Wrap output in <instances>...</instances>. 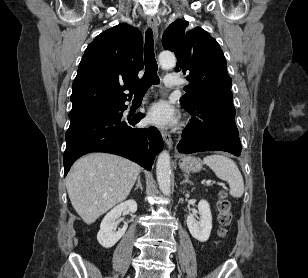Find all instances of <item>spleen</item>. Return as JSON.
<instances>
[{
  "mask_svg": "<svg viewBox=\"0 0 308 278\" xmlns=\"http://www.w3.org/2000/svg\"><path fill=\"white\" fill-rule=\"evenodd\" d=\"M203 162L212 169L218 178L228 182L231 196L239 198L243 195V177L232 159L224 155L213 154L206 156Z\"/></svg>",
  "mask_w": 308,
  "mask_h": 278,
  "instance_id": "obj_1",
  "label": "spleen"
}]
</instances>
